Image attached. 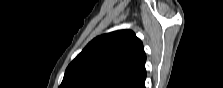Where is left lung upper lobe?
I'll return each mask as SVG.
<instances>
[{
	"mask_svg": "<svg viewBox=\"0 0 223 88\" xmlns=\"http://www.w3.org/2000/svg\"><path fill=\"white\" fill-rule=\"evenodd\" d=\"M142 42L130 30L94 38L69 64L59 88H138L146 78Z\"/></svg>",
	"mask_w": 223,
	"mask_h": 88,
	"instance_id": "left-lung-upper-lobe-1",
	"label": "left lung upper lobe"
}]
</instances>
